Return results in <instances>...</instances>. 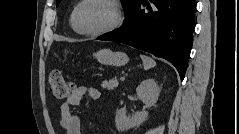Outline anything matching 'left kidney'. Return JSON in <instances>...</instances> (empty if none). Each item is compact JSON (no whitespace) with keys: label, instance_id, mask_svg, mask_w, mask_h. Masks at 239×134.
Segmentation results:
<instances>
[{"label":"left kidney","instance_id":"5707ae66","mask_svg":"<svg viewBox=\"0 0 239 134\" xmlns=\"http://www.w3.org/2000/svg\"><path fill=\"white\" fill-rule=\"evenodd\" d=\"M139 99L146 108L152 107L158 100L160 89L154 79H146L136 89ZM148 117L147 111L136 112L127 116L126 109L121 108L116 112L115 123L118 131L122 132L131 128L139 127Z\"/></svg>","mask_w":239,"mask_h":134}]
</instances>
